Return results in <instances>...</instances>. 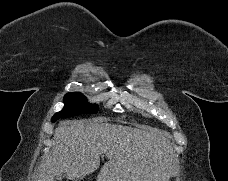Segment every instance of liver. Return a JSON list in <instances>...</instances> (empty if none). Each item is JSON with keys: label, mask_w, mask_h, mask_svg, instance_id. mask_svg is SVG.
Returning <instances> with one entry per match:
<instances>
[{"label": "liver", "mask_w": 228, "mask_h": 181, "mask_svg": "<svg viewBox=\"0 0 228 181\" xmlns=\"http://www.w3.org/2000/svg\"><path fill=\"white\" fill-rule=\"evenodd\" d=\"M52 151L40 165L36 181H54L66 173L69 181L85 179L107 157L98 181H169L176 175L177 159L167 133L110 125L97 117L67 121L55 129Z\"/></svg>", "instance_id": "1"}]
</instances>
